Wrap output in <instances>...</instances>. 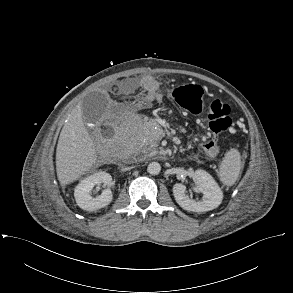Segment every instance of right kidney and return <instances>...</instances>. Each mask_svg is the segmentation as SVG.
I'll list each match as a JSON object with an SVG mask.
<instances>
[{
	"label": "right kidney",
	"instance_id": "obj_1",
	"mask_svg": "<svg viewBox=\"0 0 293 293\" xmlns=\"http://www.w3.org/2000/svg\"><path fill=\"white\" fill-rule=\"evenodd\" d=\"M111 181L112 176L105 171L96 172L81 180L74 191L77 205L86 211H96L109 205L113 197L109 188L103 190L102 194L97 197H92L91 191L95 185L103 183L107 186Z\"/></svg>",
	"mask_w": 293,
	"mask_h": 293
}]
</instances>
